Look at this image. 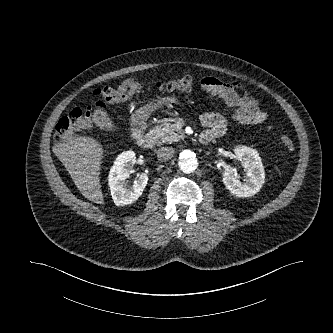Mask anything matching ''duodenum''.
I'll return each mask as SVG.
<instances>
[{
    "mask_svg": "<svg viewBox=\"0 0 333 333\" xmlns=\"http://www.w3.org/2000/svg\"><path fill=\"white\" fill-rule=\"evenodd\" d=\"M132 137L134 139V141L136 142L137 145H139L142 148H152L154 145V137L149 134L146 133L143 129V117H137L134 120V125H133V129H132ZM212 140V136L207 133V132H203L200 136H199V142L202 144H207Z\"/></svg>",
    "mask_w": 333,
    "mask_h": 333,
    "instance_id": "obj_1",
    "label": "duodenum"
}]
</instances>
